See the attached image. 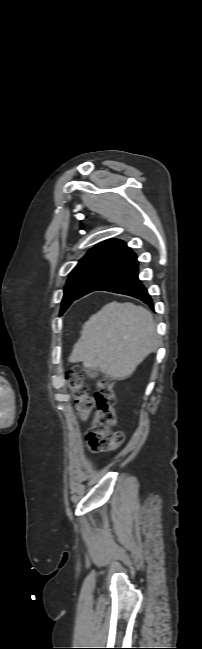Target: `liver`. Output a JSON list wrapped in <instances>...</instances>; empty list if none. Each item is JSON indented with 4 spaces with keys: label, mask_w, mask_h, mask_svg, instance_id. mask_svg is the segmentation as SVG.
<instances>
[{
    "label": "liver",
    "mask_w": 202,
    "mask_h": 649,
    "mask_svg": "<svg viewBox=\"0 0 202 649\" xmlns=\"http://www.w3.org/2000/svg\"><path fill=\"white\" fill-rule=\"evenodd\" d=\"M158 344L150 311L132 303L111 302L85 322L68 360L124 380Z\"/></svg>",
    "instance_id": "6515ba94"
}]
</instances>
